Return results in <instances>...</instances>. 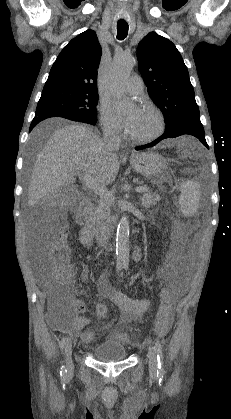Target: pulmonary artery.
Instances as JSON below:
<instances>
[{"label":"pulmonary artery","mask_w":231,"mask_h":419,"mask_svg":"<svg viewBox=\"0 0 231 419\" xmlns=\"http://www.w3.org/2000/svg\"><path fill=\"white\" fill-rule=\"evenodd\" d=\"M126 89L129 93L138 95L144 90V83L139 75H133L126 83Z\"/></svg>","instance_id":"pulmonary-artery-1"}]
</instances>
